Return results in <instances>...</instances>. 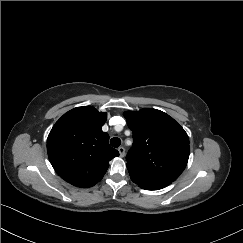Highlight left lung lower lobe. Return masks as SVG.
I'll use <instances>...</instances> for the list:
<instances>
[{
	"label": "left lung lower lobe",
	"instance_id": "left-lung-lower-lobe-1",
	"mask_svg": "<svg viewBox=\"0 0 243 243\" xmlns=\"http://www.w3.org/2000/svg\"><path fill=\"white\" fill-rule=\"evenodd\" d=\"M172 182L170 181H165V182H161V183H158V184H155V185H151V186H144V187H141L145 190H158V189H162L168 185H170Z\"/></svg>",
	"mask_w": 243,
	"mask_h": 243
}]
</instances>
